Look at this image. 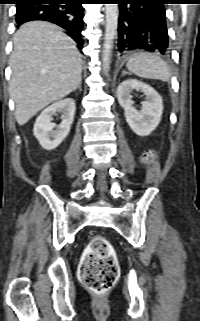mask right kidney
<instances>
[{"label": "right kidney", "instance_id": "1", "mask_svg": "<svg viewBox=\"0 0 200 321\" xmlns=\"http://www.w3.org/2000/svg\"><path fill=\"white\" fill-rule=\"evenodd\" d=\"M75 110V101L72 98H66L53 103L37 117L33 132L44 149H55L66 138L74 120ZM56 112L63 114V120L58 126L51 122Z\"/></svg>", "mask_w": 200, "mask_h": 321}]
</instances>
